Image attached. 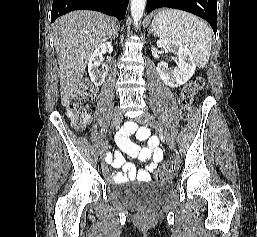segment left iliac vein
<instances>
[{"label": "left iliac vein", "instance_id": "1", "mask_svg": "<svg viewBox=\"0 0 257 237\" xmlns=\"http://www.w3.org/2000/svg\"><path fill=\"white\" fill-rule=\"evenodd\" d=\"M137 121L141 124L154 127L158 130L161 137L165 140L167 146L170 149H174L175 141L172 135L158 122L156 121L150 114L143 113L137 118Z\"/></svg>", "mask_w": 257, "mask_h": 237}]
</instances>
